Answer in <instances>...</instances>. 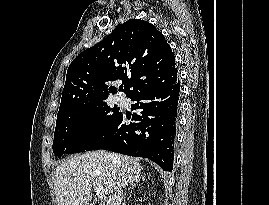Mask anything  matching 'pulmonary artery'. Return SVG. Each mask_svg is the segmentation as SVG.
Here are the masks:
<instances>
[{
	"label": "pulmonary artery",
	"instance_id": "pulmonary-artery-1",
	"mask_svg": "<svg viewBox=\"0 0 269 205\" xmlns=\"http://www.w3.org/2000/svg\"><path fill=\"white\" fill-rule=\"evenodd\" d=\"M115 100H116V103L119 105H125V103H126V99L122 95L116 96Z\"/></svg>",
	"mask_w": 269,
	"mask_h": 205
}]
</instances>
